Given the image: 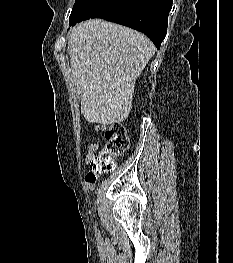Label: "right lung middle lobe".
<instances>
[{"label":"right lung middle lobe","instance_id":"right-lung-middle-lobe-1","mask_svg":"<svg viewBox=\"0 0 233 263\" xmlns=\"http://www.w3.org/2000/svg\"><path fill=\"white\" fill-rule=\"evenodd\" d=\"M123 0H75L69 25L90 18H104L113 13Z\"/></svg>","mask_w":233,"mask_h":263}]
</instances>
